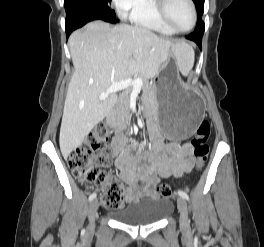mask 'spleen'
Instances as JSON below:
<instances>
[{"label": "spleen", "mask_w": 264, "mask_h": 247, "mask_svg": "<svg viewBox=\"0 0 264 247\" xmlns=\"http://www.w3.org/2000/svg\"><path fill=\"white\" fill-rule=\"evenodd\" d=\"M177 67L182 75L187 76L194 66L195 54L193 48L186 44H177L174 49Z\"/></svg>", "instance_id": "1"}]
</instances>
